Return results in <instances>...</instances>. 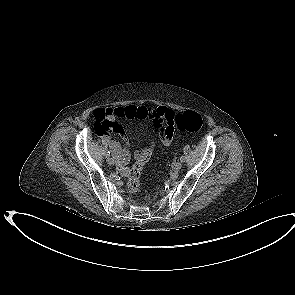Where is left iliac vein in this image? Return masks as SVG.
Returning <instances> with one entry per match:
<instances>
[{
  "instance_id": "1",
  "label": "left iliac vein",
  "mask_w": 295,
  "mask_h": 295,
  "mask_svg": "<svg viewBox=\"0 0 295 295\" xmlns=\"http://www.w3.org/2000/svg\"><path fill=\"white\" fill-rule=\"evenodd\" d=\"M182 167V163L180 161L176 162L174 165V170L179 171Z\"/></svg>"
}]
</instances>
